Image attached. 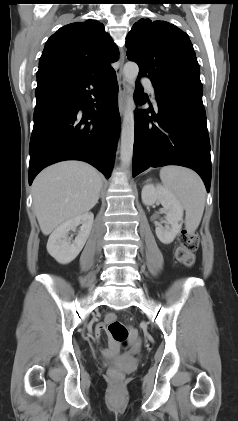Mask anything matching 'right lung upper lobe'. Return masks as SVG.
Listing matches in <instances>:
<instances>
[{"mask_svg": "<svg viewBox=\"0 0 238 421\" xmlns=\"http://www.w3.org/2000/svg\"><path fill=\"white\" fill-rule=\"evenodd\" d=\"M119 51L104 25L95 20L61 27L46 42L37 79L49 76L88 77L113 70Z\"/></svg>", "mask_w": 238, "mask_h": 421, "instance_id": "obj_1", "label": "right lung upper lobe"}]
</instances>
